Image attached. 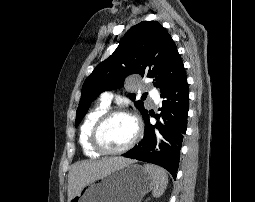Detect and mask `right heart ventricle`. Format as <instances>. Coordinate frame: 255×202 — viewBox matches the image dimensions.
Here are the masks:
<instances>
[{"label": "right heart ventricle", "mask_w": 255, "mask_h": 202, "mask_svg": "<svg viewBox=\"0 0 255 202\" xmlns=\"http://www.w3.org/2000/svg\"><path fill=\"white\" fill-rule=\"evenodd\" d=\"M108 110V104L101 101L96 106H94L86 115L79 133V140L85 155L96 158L100 156L101 153L96 151L90 143V135L92 128L97 121V119Z\"/></svg>", "instance_id": "1"}]
</instances>
